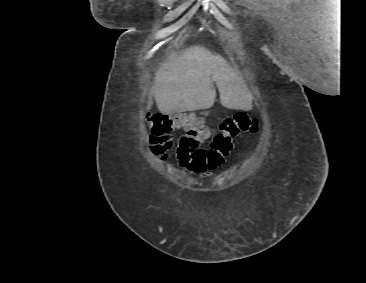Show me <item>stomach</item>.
Listing matches in <instances>:
<instances>
[{
    "label": "stomach",
    "instance_id": "obj_1",
    "mask_svg": "<svg viewBox=\"0 0 366 283\" xmlns=\"http://www.w3.org/2000/svg\"><path fill=\"white\" fill-rule=\"evenodd\" d=\"M202 114H203V115H208V113H207V112H203Z\"/></svg>",
    "mask_w": 366,
    "mask_h": 283
}]
</instances>
